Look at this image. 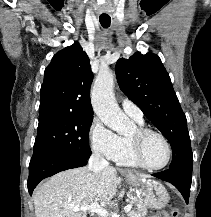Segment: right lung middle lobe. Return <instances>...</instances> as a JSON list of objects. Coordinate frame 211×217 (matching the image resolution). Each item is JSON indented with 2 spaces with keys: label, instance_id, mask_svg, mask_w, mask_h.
Wrapping results in <instances>:
<instances>
[{
  "label": "right lung middle lobe",
  "instance_id": "dd1d6c3e",
  "mask_svg": "<svg viewBox=\"0 0 211 217\" xmlns=\"http://www.w3.org/2000/svg\"><path fill=\"white\" fill-rule=\"evenodd\" d=\"M93 116L57 114L39 119L34 153H60L89 158L88 134Z\"/></svg>",
  "mask_w": 211,
  "mask_h": 217
}]
</instances>
